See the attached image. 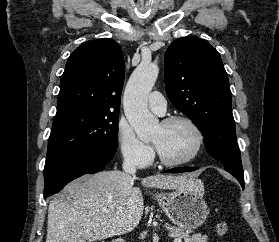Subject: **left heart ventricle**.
Masks as SVG:
<instances>
[{"label": "left heart ventricle", "instance_id": "obj_1", "mask_svg": "<svg viewBox=\"0 0 279 242\" xmlns=\"http://www.w3.org/2000/svg\"><path fill=\"white\" fill-rule=\"evenodd\" d=\"M151 141L164 157L179 160L192 152L195 146V134L187 124L182 122L168 126L158 124Z\"/></svg>", "mask_w": 279, "mask_h": 242}]
</instances>
